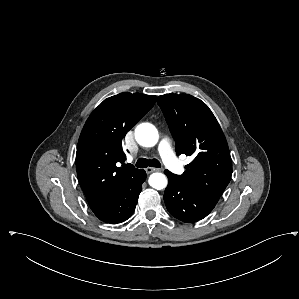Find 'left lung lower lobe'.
<instances>
[{
	"label": "left lung lower lobe",
	"instance_id": "obj_1",
	"mask_svg": "<svg viewBox=\"0 0 299 299\" xmlns=\"http://www.w3.org/2000/svg\"><path fill=\"white\" fill-rule=\"evenodd\" d=\"M169 179L164 201L171 215L186 222H196L205 218L216 203L181 183L171 172L165 170Z\"/></svg>",
	"mask_w": 299,
	"mask_h": 299
}]
</instances>
